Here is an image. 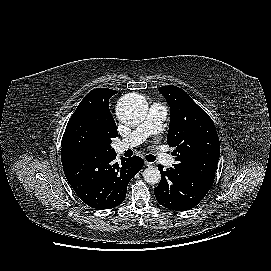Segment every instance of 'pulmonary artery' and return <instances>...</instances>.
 Here are the masks:
<instances>
[{"label":"pulmonary artery","instance_id":"1","mask_svg":"<svg viewBox=\"0 0 271 271\" xmlns=\"http://www.w3.org/2000/svg\"><path fill=\"white\" fill-rule=\"evenodd\" d=\"M167 114L168 108L165 105L161 103L152 104L144 122L135 128L128 137L116 144L115 151L122 153L129 148L140 145L149 136L159 133ZM156 157L163 165L171 166L174 163V159L165 153L161 152Z\"/></svg>","mask_w":271,"mask_h":271}]
</instances>
